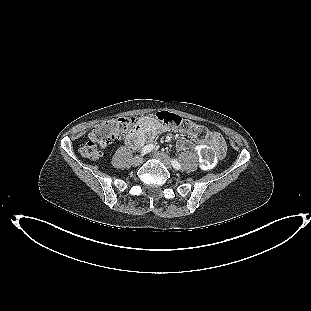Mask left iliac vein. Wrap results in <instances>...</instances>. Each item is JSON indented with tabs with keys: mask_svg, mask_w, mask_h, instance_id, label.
<instances>
[{
	"mask_svg": "<svg viewBox=\"0 0 311 311\" xmlns=\"http://www.w3.org/2000/svg\"><path fill=\"white\" fill-rule=\"evenodd\" d=\"M155 157L160 160L168 169L171 168V160L168 155L163 152L155 153Z\"/></svg>",
	"mask_w": 311,
	"mask_h": 311,
	"instance_id": "left-iliac-vein-1",
	"label": "left iliac vein"
}]
</instances>
